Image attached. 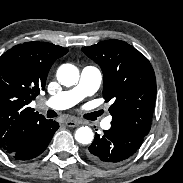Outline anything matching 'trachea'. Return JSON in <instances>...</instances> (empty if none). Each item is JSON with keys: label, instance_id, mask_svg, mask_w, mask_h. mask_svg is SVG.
Returning a JSON list of instances; mask_svg holds the SVG:
<instances>
[{"label": "trachea", "instance_id": "trachea-1", "mask_svg": "<svg viewBox=\"0 0 183 183\" xmlns=\"http://www.w3.org/2000/svg\"><path fill=\"white\" fill-rule=\"evenodd\" d=\"M46 115H47L48 118L57 117V113L54 110H48Z\"/></svg>", "mask_w": 183, "mask_h": 183}]
</instances>
